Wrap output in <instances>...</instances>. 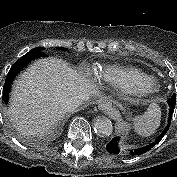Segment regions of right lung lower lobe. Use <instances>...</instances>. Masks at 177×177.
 Wrapping results in <instances>:
<instances>
[{
  "mask_svg": "<svg viewBox=\"0 0 177 177\" xmlns=\"http://www.w3.org/2000/svg\"><path fill=\"white\" fill-rule=\"evenodd\" d=\"M47 55L43 51H29L27 54L22 56L19 60H17L14 65L10 68L6 81L3 87V100L7 103L9 91L11 88V84L13 82L14 77L24 68L26 67L32 60L39 57H46Z\"/></svg>",
  "mask_w": 177,
  "mask_h": 177,
  "instance_id": "obj_1",
  "label": "right lung lower lobe"
}]
</instances>
